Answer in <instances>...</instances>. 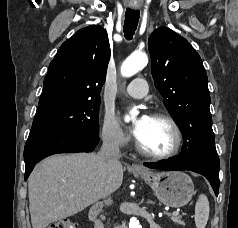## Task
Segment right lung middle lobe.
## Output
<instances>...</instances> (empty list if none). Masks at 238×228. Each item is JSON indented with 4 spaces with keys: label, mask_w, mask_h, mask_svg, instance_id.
Returning a JSON list of instances; mask_svg holds the SVG:
<instances>
[{
    "label": "right lung middle lobe",
    "mask_w": 238,
    "mask_h": 228,
    "mask_svg": "<svg viewBox=\"0 0 238 228\" xmlns=\"http://www.w3.org/2000/svg\"><path fill=\"white\" fill-rule=\"evenodd\" d=\"M100 101H86L35 117L32 128H61L99 135Z\"/></svg>",
    "instance_id": "obj_1"
}]
</instances>
